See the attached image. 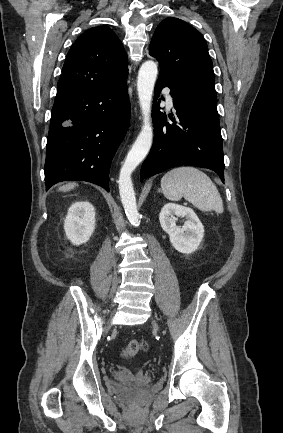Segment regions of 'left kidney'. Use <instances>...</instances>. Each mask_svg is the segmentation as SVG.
I'll use <instances>...</instances> for the list:
<instances>
[{
	"instance_id": "left-kidney-1",
	"label": "left kidney",
	"mask_w": 283,
	"mask_h": 433,
	"mask_svg": "<svg viewBox=\"0 0 283 433\" xmlns=\"http://www.w3.org/2000/svg\"><path fill=\"white\" fill-rule=\"evenodd\" d=\"M175 216L187 219L182 227L176 226ZM159 220L162 229L169 235L171 244L178 252L190 254L198 249L204 236V226L191 208L174 203L165 204Z\"/></svg>"
}]
</instances>
